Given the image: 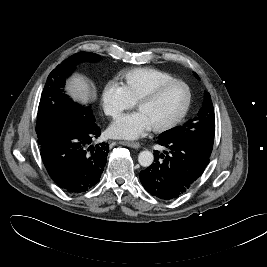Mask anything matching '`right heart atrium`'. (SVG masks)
<instances>
[{
    "label": "right heart atrium",
    "instance_id": "1",
    "mask_svg": "<svg viewBox=\"0 0 267 267\" xmlns=\"http://www.w3.org/2000/svg\"><path fill=\"white\" fill-rule=\"evenodd\" d=\"M102 108L106 115L116 118L122 112L131 109L134 102L129 98L123 85L111 82L108 83L101 94Z\"/></svg>",
    "mask_w": 267,
    "mask_h": 267
}]
</instances>
